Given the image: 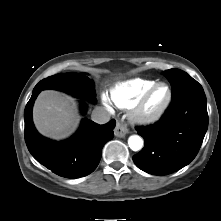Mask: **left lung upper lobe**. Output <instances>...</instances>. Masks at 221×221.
Returning a JSON list of instances; mask_svg holds the SVG:
<instances>
[{"mask_svg": "<svg viewBox=\"0 0 221 221\" xmlns=\"http://www.w3.org/2000/svg\"><path fill=\"white\" fill-rule=\"evenodd\" d=\"M164 75L171 84L172 96H175L186 89L200 86V84L186 72L176 68L165 70Z\"/></svg>", "mask_w": 221, "mask_h": 221, "instance_id": "5c2ea615", "label": "left lung upper lobe"}]
</instances>
